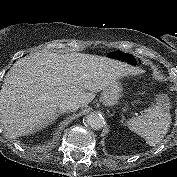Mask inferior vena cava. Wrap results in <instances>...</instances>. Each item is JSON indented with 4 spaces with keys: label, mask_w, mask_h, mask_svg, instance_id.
<instances>
[{
    "label": "inferior vena cava",
    "mask_w": 177,
    "mask_h": 177,
    "mask_svg": "<svg viewBox=\"0 0 177 177\" xmlns=\"http://www.w3.org/2000/svg\"><path fill=\"white\" fill-rule=\"evenodd\" d=\"M80 107V105L77 102H65L62 103L59 108L61 112H72V111H76L78 108Z\"/></svg>",
    "instance_id": "obj_1"
}]
</instances>
